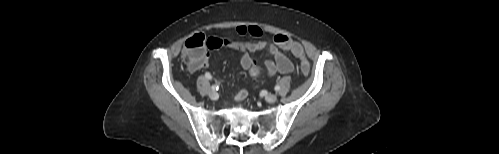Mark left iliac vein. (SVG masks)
I'll use <instances>...</instances> for the list:
<instances>
[{
    "label": "left iliac vein",
    "mask_w": 499,
    "mask_h": 154,
    "mask_svg": "<svg viewBox=\"0 0 499 154\" xmlns=\"http://www.w3.org/2000/svg\"><path fill=\"white\" fill-rule=\"evenodd\" d=\"M277 100L276 94H269L265 97V101L268 103H274Z\"/></svg>",
    "instance_id": "1"
}]
</instances>
